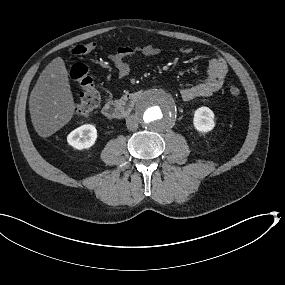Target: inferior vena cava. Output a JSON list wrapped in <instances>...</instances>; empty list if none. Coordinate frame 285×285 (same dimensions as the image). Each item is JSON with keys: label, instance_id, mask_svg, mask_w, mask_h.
Here are the masks:
<instances>
[{"label": "inferior vena cava", "instance_id": "inferior-vena-cava-1", "mask_svg": "<svg viewBox=\"0 0 285 285\" xmlns=\"http://www.w3.org/2000/svg\"><path fill=\"white\" fill-rule=\"evenodd\" d=\"M126 126L129 130H136L138 128V117L135 114L129 115L126 118Z\"/></svg>", "mask_w": 285, "mask_h": 285}]
</instances>
